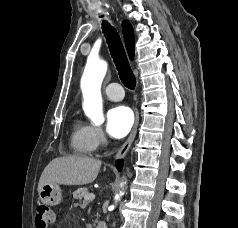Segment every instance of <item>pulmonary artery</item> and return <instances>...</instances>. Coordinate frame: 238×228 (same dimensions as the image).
Wrapping results in <instances>:
<instances>
[{
    "mask_svg": "<svg viewBox=\"0 0 238 228\" xmlns=\"http://www.w3.org/2000/svg\"><path fill=\"white\" fill-rule=\"evenodd\" d=\"M106 96L114 101H119L123 99L124 92L120 84L118 83H111L104 89Z\"/></svg>",
    "mask_w": 238,
    "mask_h": 228,
    "instance_id": "obj_1",
    "label": "pulmonary artery"
}]
</instances>
